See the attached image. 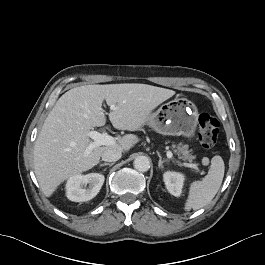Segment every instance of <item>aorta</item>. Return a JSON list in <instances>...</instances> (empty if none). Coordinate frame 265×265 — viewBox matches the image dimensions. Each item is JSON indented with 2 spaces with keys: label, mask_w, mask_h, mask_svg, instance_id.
Segmentation results:
<instances>
[{
  "label": "aorta",
  "mask_w": 265,
  "mask_h": 265,
  "mask_svg": "<svg viewBox=\"0 0 265 265\" xmlns=\"http://www.w3.org/2000/svg\"><path fill=\"white\" fill-rule=\"evenodd\" d=\"M133 164L134 168L139 172H146L150 168V161L146 156H137Z\"/></svg>",
  "instance_id": "762f6f07"
}]
</instances>
